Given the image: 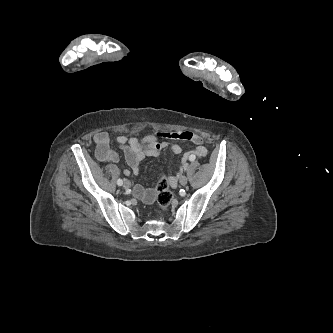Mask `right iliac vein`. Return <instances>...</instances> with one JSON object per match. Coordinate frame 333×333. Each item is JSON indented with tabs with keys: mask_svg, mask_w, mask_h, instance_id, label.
<instances>
[{
	"mask_svg": "<svg viewBox=\"0 0 333 333\" xmlns=\"http://www.w3.org/2000/svg\"><path fill=\"white\" fill-rule=\"evenodd\" d=\"M130 186H131V183H130V181H128V180H126V181L123 183V187H124L125 189L130 188Z\"/></svg>",
	"mask_w": 333,
	"mask_h": 333,
	"instance_id": "1",
	"label": "right iliac vein"
}]
</instances>
